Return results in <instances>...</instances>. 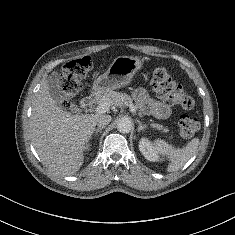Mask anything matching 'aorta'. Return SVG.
Returning <instances> with one entry per match:
<instances>
[{
  "label": "aorta",
  "mask_w": 235,
  "mask_h": 235,
  "mask_svg": "<svg viewBox=\"0 0 235 235\" xmlns=\"http://www.w3.org/2000/svg\"><path fill=\"white\" fill-rule=\"evenodd\" d=\"M117 129L121 133H129L132 129V122L128 118H121L117 122Z\"/></svg>",
  "instance_id": "aorta-1"
}]
</instances>
